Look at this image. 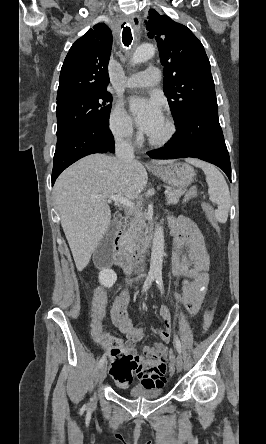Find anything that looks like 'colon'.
Here are the masks:
<instances>
[{"instance_id": "obj_1", "label": "colon", "mask_w": 266, "mask_h": 444, "mask_svg": "<svg viewBox=\"0 0 266 444\" xmlns=\"http://www.w3.org/2000/svg\"><path fill=\"white\" fill-rule=\"evenodd\" d=\"M197 194H198L197 189L196 188H191L187 192L185 198H186V200H190V199L194 198ZM203 208H204V211H205V213L207 215L209 223L211 224L213 229L216 231V233L220 234V227H219V224H218V222L216 221V219L214 217L212 207L208 203L204 202L203 203ZM215 303H216V300L214 299L212 301V305L207 309V311L204 314L203 322H202V325H201V334L206 333L208 331V329L210 328V325H211L212 320H213ZM173 356H174L173 353L170 352L169 353V358H173Z\"/></svg>"}]
</instances>
